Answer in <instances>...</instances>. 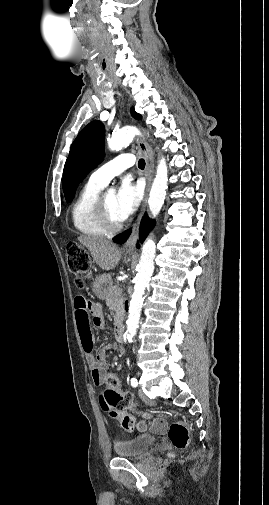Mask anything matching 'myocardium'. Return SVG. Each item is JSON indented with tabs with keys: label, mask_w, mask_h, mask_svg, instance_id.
Returning a JSON list of instances; mask_svg holds the SVG:
<instances>
[{
	"label": "myocardium",
	"mask_w": 269,
	"mask_h": 505,
	"mask_svg": "<svg viewBox=\"0 0 269 505\" xmlns=\"http://www.w3.org/2000/svg\"><path fill=\"white\" fill-rule=\"evenodd\" d=\"M96 212H97V216H98L100 223L102 224V226L105 228V230L107 232H110V233L117 232L123 227V225H124L123 221L118 222V223L112 221V219L110 218V216L107 212V209L104 205L103 197H99L97 200Z\"/></svg>",
	"instance_id": "1"
}]
</instances>
